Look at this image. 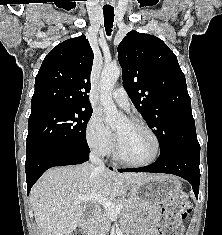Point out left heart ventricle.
Wrapping results in <instances>:
<instances>
[{
    "mask_svg": "<svg viewBox=\"0 0 222 235\" xmlns=\"http://www.w3.org/2000/svg\"><path fill=\"white\" fill-rule=\"evenodd\" d=\"M116 135L121 151L127 159L145 162L154 156L156 143L146 130L124 121L116 128Z\"/></svg>",
    "mask_w": 222,
    "mask_h": 235,
    "instance_id": "left-heart-ventricle-1",
    "label": "left heart ventricle"
}]
</instances>
